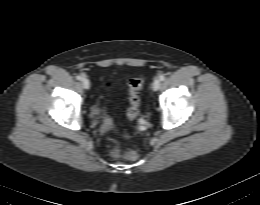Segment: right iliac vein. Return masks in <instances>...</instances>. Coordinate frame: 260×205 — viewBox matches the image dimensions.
Returning a JSON list of instances; mask_svg holds the SVG:
<instances>
[{
	"instance_id": "right-iliac-vein-1",
	"label": "right iliac vein",
	"mask_w": 260,
	"mask_h": 205,
	"mask_svg": "<svg viewBox=\"0 0 260 205\" xmlns=\"http://www.w3.org/2000/svg\"><path fill=\"white\" fill-rule=\"evenodd\" d=\"M81 83H82V86H83L84 89L90 88V81L87 78H83Z\"/></svg>"
}]
</instances>
